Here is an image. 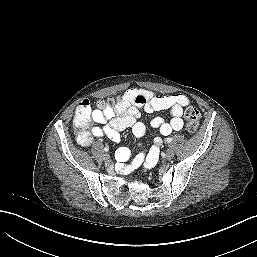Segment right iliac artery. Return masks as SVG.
<instances>
[{
    "mask_svg": "<svg viewBox=\"0 0 257 257\" xmlns=\"http://www.w3.org/2000/svg\"><path fill=\"white\" fill-rule=\"evenodd\" d=\"M104 151L108 152L109 151V147H104Z\"/></svg>",
    "mask_w": 257,
    "mask_h": 257,
    "instance_id": "82829eb1",
    "label": "right iliac artery"
}]
</instances>
